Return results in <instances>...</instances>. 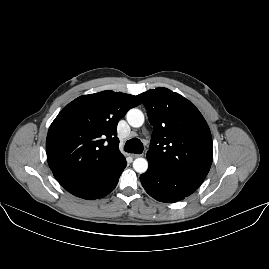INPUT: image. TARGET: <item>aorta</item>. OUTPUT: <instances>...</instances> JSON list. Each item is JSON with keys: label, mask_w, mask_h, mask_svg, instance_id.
I'll return each instance as SVG.
<instances>
[{"label": "aorta", "mask_w": 269, "mask_h": 269, "mask_svg": "<svg viewBox=\"0 0 269 269\" xmlns=\"http://www.w3.org/2000/svg\"><path fill=\"white\" fill-rule=\"evenodd\" d=\"M127 121L130 126L138 128L144 123V114L141 110L133 108L127 112ZM133 168L138 173H145L148 169V162L145 158H136L133 162Z\"/></svg>", "instance_id": "aorta-1"}]
</instances>
